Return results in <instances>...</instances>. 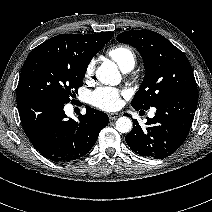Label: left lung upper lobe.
Segmentation results:
<instances>
[{
  "label": "left lung upper lobe",
  "instance_id": "obj_1",
  "mask_svg": "<svg viewBox=\"0 0 212 212\" xmlns=\"http://www.w3.org/2000/svg\"><path fill=\"white\" fill-rule=\"evenodd\" d=\"M117 41L134 46L142 55L145 77L135 94L133 108L147 110L184 93H197L192 67L185 54L151 30L125 31Z\"/></svg>",
  "mask_w": 212,
  "mask_h": 212
}]
</instances>
